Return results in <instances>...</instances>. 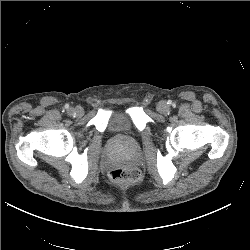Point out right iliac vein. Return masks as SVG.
Returning a JSON list of instances; mask_svg holds the SVG:
<instances>
[{
	"label": "right iliac vein",
	"mask_w": 250,
	"mask_h": 250,
	"mask_svg": "<svg viewBox=\"0 0 250 250\" xmlns=\"http://www.w3.org/2000/svg\"><path fill=\"white\" fill-rule=\"evenodd\" d=\"M68 114L71 115V116L76 115L78 117H81L84 114V110H83L82 107L69 108L68 109Z\"/></svg>",
	"instance_id": "1"
}]
</instances>
